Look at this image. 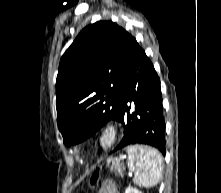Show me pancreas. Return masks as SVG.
<instances>
[{"label": "pancreas", "instance_id": "pancreas-1", "mask_svg": "<svg viewBox=\"0 0 221 193\" xmlns=\"http://www.w3.org/2000/svg\"><path fill=\"white\" fill-rule=\"evenodd\" d=\"M115 170L119 171V169H118V168H115Z\"/></svg>", "mask_w": 221, "mask_h": 193}]
</instances>
